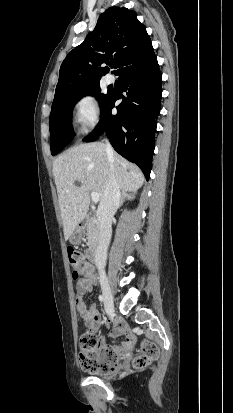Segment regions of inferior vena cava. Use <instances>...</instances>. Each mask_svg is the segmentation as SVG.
I'll list each match as a JSON object with an SVG mask.
<instances>
[{"instance_id":"602c4592","label":"inferior vena cava","mask_w":233,"mask_h":413,"mask_svg":"<svg viewBox=\"0 0 233 413\" xmlns=\"http://www.w3.org/2000/svg\"><path fill=\"white\" fill-rule=\"evenodd\" d=\"M106 154L109 159L113 158V150L106 140ZM120 186L114 173V166L110 164L108 182L104 191L103 198L98 206L97 218L99 228V241L95 250V265L99 273H104L107 258V248L111 239L112 218L120 205Z\"/></svg>"}]
</instances>
